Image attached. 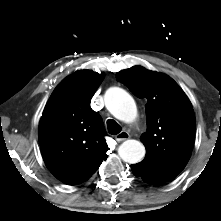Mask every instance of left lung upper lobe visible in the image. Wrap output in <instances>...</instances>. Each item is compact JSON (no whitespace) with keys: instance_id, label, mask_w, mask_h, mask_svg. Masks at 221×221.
I'll use <instances>...</instances> for the list:
<instances>
[{"instance_id":"5c2ea615","label":"left lung upper lobe","mask_w":221,"mask_h":221,"mask_svg":"<svg viewBox=\"0 0 221 221\" xmlns=\"http://www.w3.org/2000/svg\"><path fill=\"white\" fill-rule=\"evenodd\" d=\"M138 98H146L147 131L141 136L146 156L132 172L151 185L175 178L186 166L194 144L192 105L177 83L165 74L134 66L117 73Z\"/></svg>"}]
</instances>
